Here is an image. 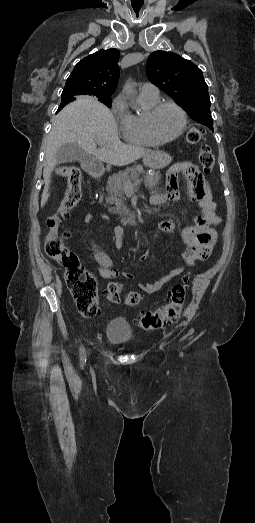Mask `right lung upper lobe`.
Returning <instances> with one entry per match:
<instances>
[{"label": "right lung upper lobe", "instance_id": "1", "mask_svg": "<svg viewBox=\"0 0 255 523\" xmlns=\"http://www.w3.org/2000/svg\"><path fill=\"white\" fill-rule=\"evenodd\" d=\"M120 53L117 49L100 50L76 64L63 89L62 102L57 112L65 105L81 98L111 97L119 81Z\"/></svg>", "mask_w": 255, "mask_h": 523}]
</instances>
